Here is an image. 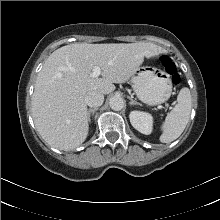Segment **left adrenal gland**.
Returning a JSON list of instances; mask_svg holds the SVG:
<instances>
[{"mask_svg": "<svg viewBox=\"0 0 220 220\" xmlns=\"http://www.w3.org/2000/svg\"><path fill=\"white\" fill-rule=\"evenodd\" d=\"M130 99V104L131 105H141L139 102H136L135 100H133L131 97H128Z\"/></svg>", "mask_w": 220, "mask_h": 220, "instance_id": "left-adrenal-gland-1", "label": "left adrenal gland"}]
</instances>
